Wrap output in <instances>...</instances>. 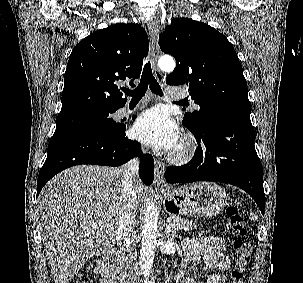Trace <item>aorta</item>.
Here are the masks:
<instances>
[{
    "label": "aorta",
    "mask_w": 303,
    "mask_h": 283,
    "mask_svg": "<svg viewBox=\"0 0 303 283\" xmlns=\"http://www.w3.org/2000/svg\"><path fill=\"white\" fill-rule=\"evenodd\" d=\"M158 65L165 72H172L175 68V61L172 57L162 56ZM158 235V214L153 202L148 203L145 211L144 227L141 233L142 242L140 249V267L145 278V283H153L149 280V275L153 267L155 247Z\"/></svg>",
    "instance_id": "1"
}]
</instances>
